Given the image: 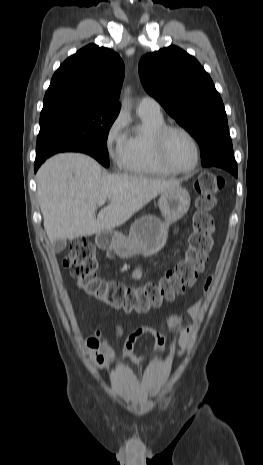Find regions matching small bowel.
Wrapping results in <instances>:
<instances>
[{"label": "small bowel", "instance_id": "small-bowel-1", "mask_svg": "<svg viewBox=\"0 0 263 465\" xmlns=\"http://www.w3.org/2000/svg\"><path fill=\"white\" fill-rule=\"evenodd\" d=\"M171 252L177 253L178 249L173 248L171 249ZM142 273H143L142 267H137L132 271V278L135 280H139L142 277ZM211 282H212V278L208 277L204 284L205 291L208 290L209 286L211 285ZM187 300L188 298H185L184 303H186ZM188 313L192 318L199 319L202 315V302L200 301L194 305L189 306ZM176 320H178L176 317H172L170 318L169 322L170 324L175 325ZM99 333L100 332L97 331V334ZM147 334L151 335L154 339L155 352L160 354L163 350V346L165 343L164 337L153 326H151L150 324H144V325H141L135 328L133 331L127 334L125 338V342H124V348H123L124 358L135 366L143 365L147 361V359L144 356H137L134 353L137 341L141 337ZM124 335H125V327L124 325H119L108 335L107 339L102 344H99L98 340L96 343L91 344V347L95 351L96 361L100 368L107 369L114 365V350L112 347V343L116 341L117 339L123 337ZM190 336H191L190 329H186L181 333L180 338H179V344L181 345L183 349L187 346ZM181 354H182V351L179 353V355Z\"/></svg>", "mask_w": 263, "mask_h": 465}]
</instances>
